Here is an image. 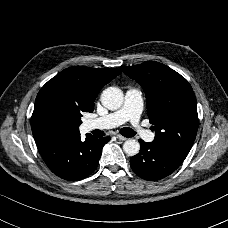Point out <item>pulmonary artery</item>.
<instances>
[{
	"label": "pulmonary artery",
	"mask_w": 228,
	"mask_h": 228,
	"mask_svg": "<svg viewBox=\"0 0 228 228\" xmlns=\"http://www.w3.org/2000/svg\"><path fill=\"white\" fill-rule=\"evenodd\" d=\"M141 108V93L137 90H130L125 95L123 108L105 116L87 120L84 122L83 126L86 131H92L95 129H111L123 124L127 119L128 124L133 127L135 135L140 136L143 141L152 142L155 134L149 130H145L143 124H141Z\"/></svg>",
	"instance_id": "1"
}]
</instances>
